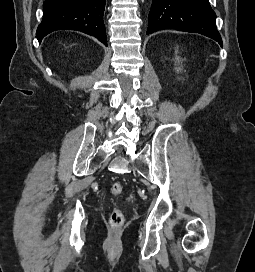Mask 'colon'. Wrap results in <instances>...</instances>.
I'll use <instances>...</instances> for the list:
<instances>
[{
  "instance_id": "obj_1",
  "label": "colon",
  "mask_w": 255,
  "mask_h": 272,
  "mask_svg": "<svg viewBox=\"0 0 255 272\" xmlns=\"http://www.w3.org/2000/svg\"><path fill=\"white\" fill-rule=\"evenodd\" d=\"M123 186L120 182H115L111 186V193L113 196L121 194ZM125 222L124 214L119 207H114L109 216V223L113 228H119L123 226Z\"/></svg>"
}]
</instances>
